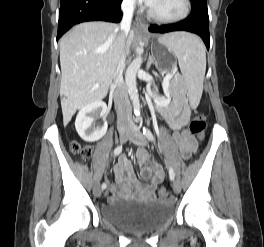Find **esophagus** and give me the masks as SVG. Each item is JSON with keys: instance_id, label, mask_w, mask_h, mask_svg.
<instances>
[{"instance_id": "1", "label": "esophagus", "mask_w": 264, "mask_h": 247, "mask_svg": "<svg viewBox=\"0 0 264 247\" xmlns=\"http://www.w3.org/2000/svg\"><path fill=\"white\" fill-rule=\"evenodd\" d=\"M136 22L138 27L143 28L144 30H147V25L141 20L139 16L136 17Z\"/></svg>"}]
</instances>
